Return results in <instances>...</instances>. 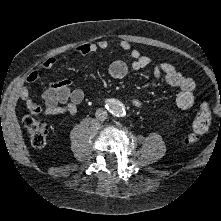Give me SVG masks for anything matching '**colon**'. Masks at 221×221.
Masks as SVG:
<instances>
[{
	"instance_id": "1",
	"label": "colon",
	"mask_w": 221,
	"mask_h": 221,
	"mask_svg": "<svg viewBox=\"0 0 221 221\" xmlns=\"http://www.w3.org/2000/svg\"><path fill=\"white\" fill-rule=\"evenodd\" d=\"M211 122V109L208 99H202L198 111L192 122V131L185 138L186 145L197 143L208 131ZM23 125L30 136L31 143L36 148H42L47 144L49 127L41 119L34 115H27L23 119Z\"/></svg>"
}]
</instances>
